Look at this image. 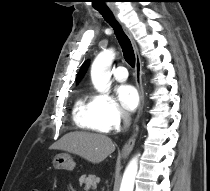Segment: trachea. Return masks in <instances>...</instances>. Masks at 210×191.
I'll list each match as a JSON object with an SVG mask.
<instances>
[{
    "label": "trachea",
    "mask_w": 210,
    "mask_h": 191,
    "mask_svg": "<svg viewBox=\"0 0 210 191\" xmlns=\"http://www.w3.org/2000/svg\"><path fill=\"white\" fill-rule=\"evenodd\" d=\"M97 10L101 13L104 19L113 27L115 35L122 48L124 59L130 66L134 67L135 54L130 39L123 31L122 27L115 19L110 9H97Z\"/></svg>",
    "instance_id": "3493384b"
}]
</instances>
